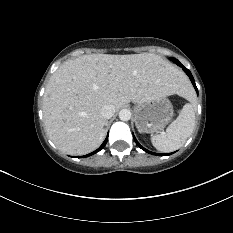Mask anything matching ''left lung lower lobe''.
I'll use <instances>...</instances> for the list:
<instances>
[{
  "label": "left lung lower lobe",
  "instance_id": "left-lung-lower-lobe-1",
  "mask_svg": "<svg viewBox=\"0 0 233 233\" xmlns=\"http://www.w3.org/2000/svg\"><path fill=\"white\" fill-rule=\"evenodd\" d=\"M174 63H176L178 66L182 67V69L184 70V72L189 76V78H190V80H191V82H192V84H193L195 90H196L197 93H198V90H197V87H196V84H195V81H194V78H193L191 72H190L187 68H185L177 59H174ZM133 137H134V135H133ZM134 140H135L136 144H137L142 150H144L145 152H148V153H150V154H152V155L163 156V155H170V154H172V153H169V154H158V153H154V152L148 151L147 149H145L144 147H142V146L138 143V141L136 140L135 137H134Z\"/></svg>",
  "mask_w": 233,
  "mask_h": 233
}]
</instances>
